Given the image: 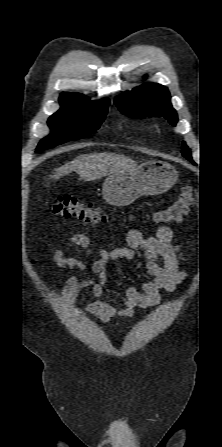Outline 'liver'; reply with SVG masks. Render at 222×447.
<instances>
[{
	"label": "liver",
	"mask_w": 222,
	"mask_h": 447,
	"mask_svg": "<svg viewBox=\"0 0 222 447\" xmlns=\"http://www.w3.org/2000/svg\"><path fill=\"white\" fill-rule=\"evenodd\" d=\"M136 167L137 162L124 155L115 153H90L80 155L73 161L59 167L50 178L58 180L74 171L83 180L93 181L120 170H131Z\"/></svg>",
	"instance_id": "1"
}]
</instances>
